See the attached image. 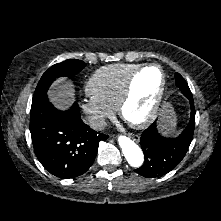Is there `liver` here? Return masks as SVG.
<instances>
[{"label": "liver", "mask_w": 221, "mask_h": 221, "mask_svg": "<svg viewBox=\"0 0 221 221\" xmlns=\"http://www.w3.org/2000/svg\"><path fill=\"white\" fill-rule=\"evenodd\" d=\"M48 96L58 109L65 110L75 99V89L72 82L60 78L50 88ZM162 120L169 130L174 128L176 119L173 110L168 105L162 108Z\"/></svg>", "instance_id": "liver-1"}]
</instances>
